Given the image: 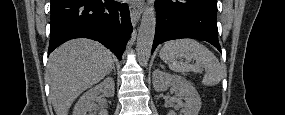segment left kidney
Listing matches in <instances>:
<instances>
[{
  "mask_svg": "<svg viewBox=\"0 0 285 115\" xmlns=\"http://www.w3.org/2000/svg\"><path fill=\"white\" fill-rule=\"evenodd\" d=\"M153 86L156 91H165L172 86L175 94L185 102H179L183 107L184 115H198L201 109V98L197 90L182 76L171 75L169 73L155 70L153 72ZM175 115V113H170Z\"/></svg>",
  "mask_w": 285,
  "mask_h": 115,
  "instance_id": "1",
  "label": "left kidney"
}]
</instances>
